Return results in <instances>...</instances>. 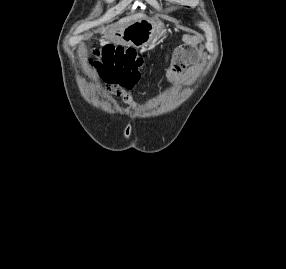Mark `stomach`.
I'll return each instance as SVG.
<instances>
[{"label": "stomach", "instance_id": "obj_1", "mask_svg": "<svg viewBox=\"0 0 286 269\" xmlns=\"http://www.w3.org/2000/svg\"><path fill=\"white\" fill-rule=\"evenodd\" d=\"M163 28L164 25L158 21L138 20L109 39L117 44L143 48L154 44L162 35Z\"/></svg>", "mask_w": 286, "mask_h": 269}]
</instances>
